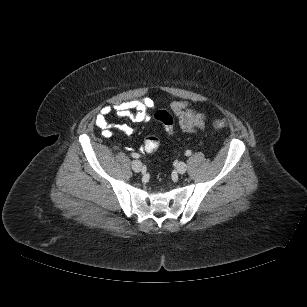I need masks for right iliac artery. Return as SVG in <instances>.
Segmentation results:
<instances>
[{"label": "right iliac artery", "mask_w": 307, "mask_h": 307, "mask_svg": "<svg viewBox=\"0 0 307 307\" xmlns=\"http://www.w3.org/2000/svg\"><path fill=\"white\" fill-rule=\"evenodd\" d=\"M132 157H134V158H139V154L133 153V154H132Z\"/></svg>", "instance_id": "right-iliac-artery-1"}]
</instances>
